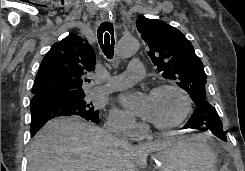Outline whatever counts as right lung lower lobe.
I'll list each match as a JSON object with an SVG mask.
<instances>
[{
  "label": "right lung lower lobe",
  "mask_w": 245,
  "mask_h": 171,
  "mask_svg": "<svg viewBox=\"0 0 245 171\" xmlns=\"http://www.w3.org/2000/svg\"><path fill=\"white\" fill-rule=\"evenodd\" d=\"M30 110L31 136H34L47 121L59 116L78 115L88 121H92L94 123L99 122V116H87L81 111L75 109L73 106L65 103L60 98L53 96L32 98L30 103Z\"/></svg>",
  "instance_id": "1"
}]
</instances>
